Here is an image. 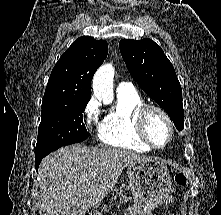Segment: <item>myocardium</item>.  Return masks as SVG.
I'll return each instance as SVG.
<instances>
[{
  "instance_id": "f54148a6",
  "label": "myocardium",
  "mask_w": 221,
  "mask_h": 215,
  "mask_svg": "<svg viewBox=\"0 0 221 215\" xmlns=\"http://www.w3.org/2000/svg\"><path fill=\"white\" fill-rule=\"evenodd\" d=\"M151 112L159 113L165 119V121L167 122L168 127H169L168 140L162 146L156 145L151 140V138L149 137V135L147 133V128H146L147 118ZM135 127H136V131H137V134L140 137V139L153 149H163V148L167 147L171 143L173 136H174V123H173V120L171 119L170 115L162 107H160L158 105H154V104L144 103L136 110Z\"/></svg>"
}]
</instances>
